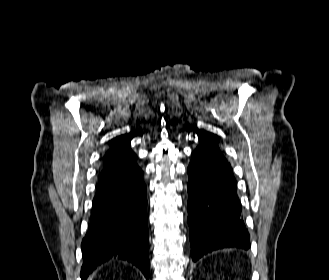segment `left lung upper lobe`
<instances>
[{
  "mask_svg": "<svg viewBox=\"0 0 329 280\" xmlns=\"http://www.w3.org/2000/svg\"><path fill=\"white\" fill-rule=\"evenodd\" d=\"M203 148H218V147L216 146V144L213 141V138L210 135H202L199 146L192 153V158H193L194 153L198 154V152H199L198 150H200V149L202 150Z\"/></svg>",
  "mask_w": 329,
  "mask_h": 280,
  "instance_id": "obj_1",
  "label": "left lung upper lobe"
}]
</instances>
